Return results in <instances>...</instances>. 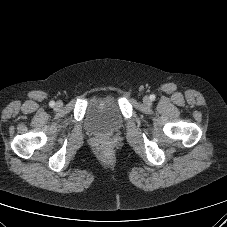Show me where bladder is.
Segmentation results:
<instances>
[{
    "label": "bladder",
    "instance_id": "obj_1",
    "mask_svg": "<svg viewBox=\"0 0 227 227\" xmlns=\"http://www.w3.org/2000/svg\"><path fill=\"white\" fill-rule=\"evenodd\" d=\"M84 125L95 135H111L121 130L124 118L116 98L107 95L93 100L85 113Z\"/></svg>",
    "mask_w": 227,
    "mask_h": 227
}]
</instances>
